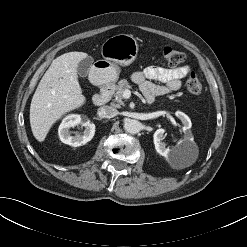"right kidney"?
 <instances>
[{
  "mask_svg": "<svg viewBox=\"0 0 247 247\" xmlns=\"http://www.w3.org/2000/svg\"><path fill=\"white\" fill-rule=\"evenodd\" d=\"M77 125H81L85 127L83 135L76 134L75 136H71L69 129L75 127ZM58 134L60 140L68 145L73 147H78L89 142L94 134H95V125L91 123L88 119L82 118L78 114H71L66 116L62 123L59 126Z\"/></svg>",
  "mask_w": 247,
  "mask_h": 247,
  "instance_id": "ca27d5eb",
  "label": "right kidney"
}]
</instances>
